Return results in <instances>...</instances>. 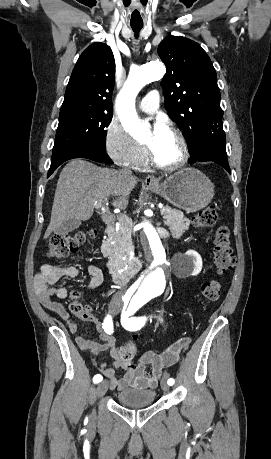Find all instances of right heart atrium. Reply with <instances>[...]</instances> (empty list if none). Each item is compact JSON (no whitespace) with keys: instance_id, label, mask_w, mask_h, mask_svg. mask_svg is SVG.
Wrapping results in <instances>:
<instances>
[{"instance_id":"right-heart-atrium-1","label":"right heart atrium","mask_w":271,"mask_h":459,"mask_svg":"<svg viewBox=\"0 0 271 459\" xmlns=\"http://www.w3.org/2000/svg\"><path fill=\"white\" fill-rule=\"evenodd\" d=\"M104 148L114 162L128 166H136L148 154L146 147L137 143L128 130L115 121L105 129Z\"/></svg>"}]
</instances>
